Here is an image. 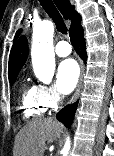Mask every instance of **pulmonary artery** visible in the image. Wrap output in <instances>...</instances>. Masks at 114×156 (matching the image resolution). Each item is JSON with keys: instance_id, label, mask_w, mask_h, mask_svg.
Returning a JSON list of instances; mask_svg holds the SVG:
<instances>
[{"instance_id": "e3ab8cb5", "label": "pulmonary artery", "mask_w": 114, "mask_h": 156, "mask_svg": "<svg viewBox=\"0 0 114 156\" xmlns=\"http://www.w3.org/2000/svg\"><path fill=\"white\" fill-rule=\"evenodd\" d=\"M55 53L59 57H66L71 53V46L66 41H59L55 46Z\"/></svg>"}]
</instances>
